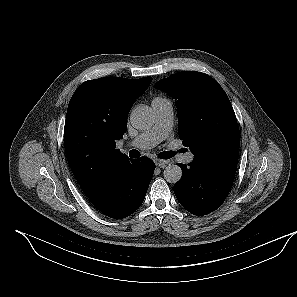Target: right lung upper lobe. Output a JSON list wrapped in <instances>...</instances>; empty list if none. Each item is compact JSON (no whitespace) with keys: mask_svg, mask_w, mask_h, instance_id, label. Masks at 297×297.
Masks as SVG:
<instances>
[{"mask_svg":"<svg viewBox=\"0 0 297 297\" xmlns=\"http://www.w3.org/2000/svg\"><path fill=\"white\" fill-rule=\"evenodd\" d=\"M151 77H104L82 83L67 109L64 144L69 166L95 205L128 159L116 149L127 129V114L148 88Z\"/></svg>","mask_w":297,"mask_h":297,"instance_id":"1","label":"right lung upper lobe"}]
</instances>
